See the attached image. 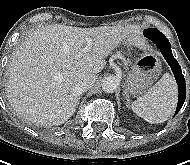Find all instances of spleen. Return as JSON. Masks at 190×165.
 I'll use <instances>...</instances> for the list:
<instances>
[{"mask_svg": "<svg viewBox=\"0 0 190 165\" xmlns=\"http://www.w3.org/2000/svg\"><path fill=\"white\" fill-rule=\"evenodd\" d=\"M177 99L176 82L165 73L143 97L132 103V110L149 123H163L173 113Z\"/></svg>", "mask_w": 190, "mask_h": 165, "instance_id": "3e777b00", "label": "spleen"}]
</instances>
